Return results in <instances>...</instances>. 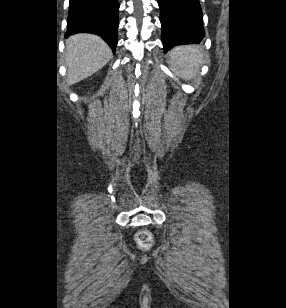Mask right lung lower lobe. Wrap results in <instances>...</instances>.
<instances>
[{"label": "right lung lower lobe", "instance_id": "right-lung-lower-lobe-1", "mask_svg": "<svg viewBox=\"0 0 286 308\" xmlns=\"http://www.w3.org/2000/svg\"><path fill=\"white\" fill-rule=\"evenodd\" d=\"M118 0H69L67 32H88L101 36L115 51L117 46Z\"/></svg>", "mask_w": 286, "mask_h": 308}]
</instances>
